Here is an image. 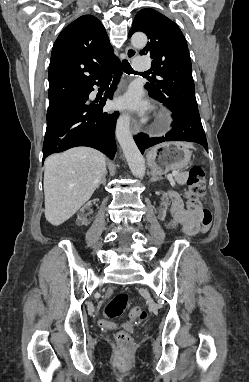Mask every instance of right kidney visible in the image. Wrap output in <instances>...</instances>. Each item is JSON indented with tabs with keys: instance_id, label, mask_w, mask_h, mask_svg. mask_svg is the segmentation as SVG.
<instances>
[{
	"instance_id": "right-kidney-1",
	"label": "right kidney",
	"mask_w": 249,
	"mask_h": 382,
	"mask_svg": "<svg viewBox=\"0 0 249 382\" xmlns=\"http://www.w3.org/2000/svg\"><path fill=\"white\" fill-rule=\"evenodd\" d=\"M97 204L96 198H89L88 201L85 202V204H82V209L80 210V213L78 214L77 222L79 225H88L89 221L87 219V214L84 212L87 211V213H92V208L95 207Z\"/></svg>"
}]
</instances>
